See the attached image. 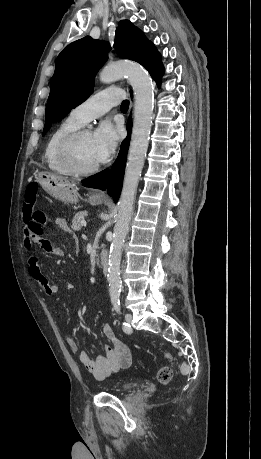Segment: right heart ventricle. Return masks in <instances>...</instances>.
I'll return each instance as SVG.
<instances>
[{
    "label": "right heart ventricle",
    "mask_w": 261,
    "mask_h": 459,
    "mask_svg": "<svg viewBox=\"0 0 261 459\" xmlns=\"http://www.w3.org/2000/svg\"><path fill=\"white\" fill-rule=\"evenodd\" d=\"M83 124L70 116L59 123L50 133L44 149V160L48 168L62 175H71L60 161L59 150L62 141L71 133L78 130Z\"/></svg>",
    "instance_id": "obj_1"
}]
</instances>
